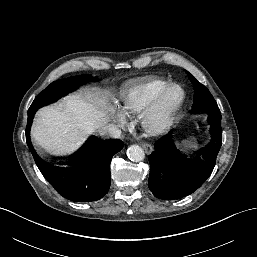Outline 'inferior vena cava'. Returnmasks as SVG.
<instances>
[{
    "label": "inferior vena cava",
    "instance_id": "obj_1",
    "mask_svg": "<svg viewBox=\"0 0 257 257\" xmlns=\"http://www.w3.org/2000/svg\"><path fill=\"white\" fill-rule=\"evenodd\" d=\"M104 131L113 138H118L121 135V130L114 125H109L104 128Z\"/></svg>",
    "mask_w": 257,
    "mask_h": 257
}]
</instances>
